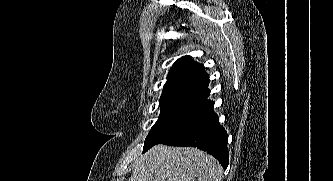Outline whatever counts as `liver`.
I'll return each mask as SVG.
<instances>
[{
    "label": "liver",
    "mask_w": 333,
    "mask_h": 181,
    "mask_svg": "<svg viewBox=\"0 0 333 181\" xmlns=\"http://www.w3.org/2000/svg\"><path fill=\"white\" fill-rule=\"evenodd\" d=\"M222 173L218 161L202 150L158 144L136 160L128 181H221Z\"/></svg>",
    "instance_id": "liver-1"
}]
</instances>
